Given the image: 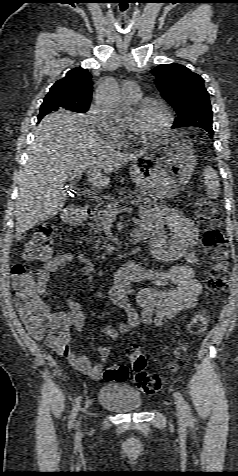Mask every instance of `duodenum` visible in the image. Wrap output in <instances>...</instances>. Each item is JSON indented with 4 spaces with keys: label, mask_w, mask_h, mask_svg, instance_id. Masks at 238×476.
<instances>
[{
    "label": "duodenum",
    "mask_w": 238,
    "mask_h": 476,
    "mask_svg": "<svg viewBox=\"0 0 238 476\" xmlns=\"http://www.w3.org/2000/svg\"><path fill=\"white\" fill-rule=\"evenodd\" d=\"M91 210L88 208H79L66 214V221L70 224H80L89 218ZM146 238V232L143 229L137 228L130 236L129 244H141Z\"/></svg>",
    "instance_id": "duodenum-1"
}]
</instances>
